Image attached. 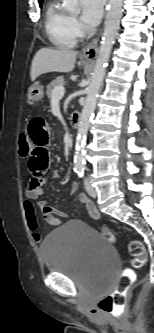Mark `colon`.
<instances>
[{
	"mask_svg": "<svg viewBox=\"0 0 154 333\" xmlns=\"http://www.w3.org/2000/svg\"><path fill=\"white\" fill-rule=\"evenodd\" d=\"M32 151V144L27 134L19 137V153L22 157H28ZM99 232L110 242L114 241V234L107 224L98 227ZM129 252L132 255V265L135 268L142 267L147 260L144 245L140 241H132L129 244ZM134 273L132 270H125L117 281L116 288L110 294L102 297L98 303L99 309L110 315H120L125 307L127 292L133 282Z\"/></svg>",
	"mask_w": 154,
	"mask_h": 333,
	"instance_id": "5ec220e1",
	"label": "colon"
}]
</instances>
